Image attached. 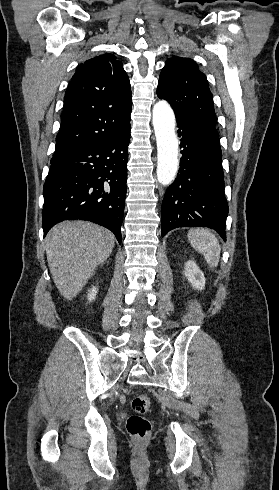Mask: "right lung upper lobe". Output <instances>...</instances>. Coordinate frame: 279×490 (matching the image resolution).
I'll use <instances>...</instances> for the list:
<instances>
[{
    "mask_svg": "<svg viewBox=\"0 0 279 490\" xmlns=\"http://www.w3.org/2000/svg\"><path fill=\"white\" fill-rule=\"evenodd\" d=\"M131 99L129 78L114 55H100L79 65L65 93L51 162L130 127Z\"/></svg>",
    "mask_w": 279,
    "mask_h": 490,
    "instance_id": "1",
    "label": "right lung upper lobe"
}]
</instances>
